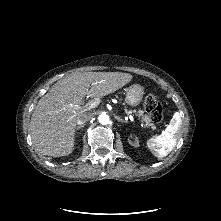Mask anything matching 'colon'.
<instances>
[{
	"label": "colon",
	"mask_w": 221,
	"mask_h": 221,
	"mask_svg": "<svg viewBox=\"0 0 221 221\" xmlns=\"http://www.w3.org/2000/svg\"><path fill=\"white\" fill-rule=\"evenodd\" d=\"M144 108L153 123H161L163 119V107L155 95H148L145 98Z\"/></svg>",
	"instance_id": "5ec220e1"
}]
</instances>
